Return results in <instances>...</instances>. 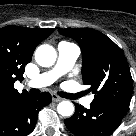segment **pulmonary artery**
<instances>
[{
	"mask_svg": "<svg viewBox=\"0 0 136 136\" xmlns=\"http://www.w3.org/2000/svg\"><path fill=\"white\" fill-rule=\"evenodd\" d=\"M80 54V49L77 45L62 41L58 44V58L54 68L48 72L42 73L39 76L27 82L28 87L42 88L52 84L61 75L67 73L76 62ZM93 101V97L85 98L82 103L89 106Z\"/></svg>",
	"mask_w": 136,
	"mask_h": 136,
	"instance_id": "pulmonary-artery-1",
	"label": "pulmonary artery"
}]
</instances>
